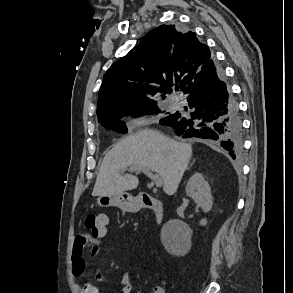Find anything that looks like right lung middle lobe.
Segmentation results:
<instances>
[{
    "label": "right lung middle lobe",
    "instance_id": "right-lung-middle-lobe-1",
    "mask_svg": "<svg viewBox=\"0 0 293 293\" xmlns=\"http://www.w3.org/2000/svg\"><path fill=\"white\" fill-rule=\"evenodd\" d=\"M149 111L150 109L145 108V109L129 111V112H111L102 117H99L98 119L100 124L104 126L105 128L114 129V130H117L118 132H127V127L125 122L120 120L122 116L128 115V114H134L139 116V115L145 114L146 112L150 113ZM153 112L159 113L160 110L153 107Z\"/></svg>",
    "mask_w": 293,
    "mask_h": 293
}]
</instances>
